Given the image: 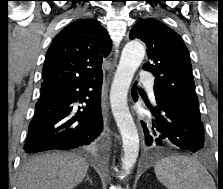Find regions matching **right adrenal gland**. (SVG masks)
Here are the masks:
<instances>
[{
	"instance_id": "1",
	"label": "right adrenal gland",
	"mask_w": 223,
	"mask_h": 189,
	"mask_svg": "<svg viewBox=\"0 0 223 189\" xmlns=\"http://www.w3.org/2000/svg\"><path fill=\"white\" fill-rule=\"evenodd\" d=\"M86 180H88L90 183H92V180L87 176Z\"/></svg>"
}]
</instances>
